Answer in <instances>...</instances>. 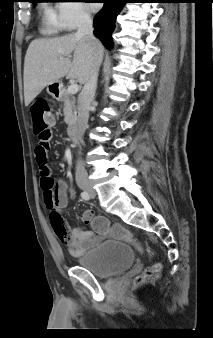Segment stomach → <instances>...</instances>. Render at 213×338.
I'll return each mask as SVG.
<instances>
[{"label":"stomach","instance_id":"0dacf381","mask_svg":"<svg viewBox=\"0 0 213 338\" xmlns=\"http://www.w3.org/2000/svg\"><path fill=\"white\" fill-rule=\"evenodd\" d=\"M61 89V84L56 82L47 86V91L49 94L55 96L58 94V91Z\"/></svg>","mask_w":213,"mask_h":338}]
</instances>
